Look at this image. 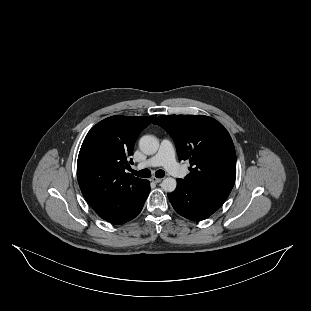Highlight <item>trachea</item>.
Instances as JSON below:
<instances>
[{
    "label": "trachea",
    "instance_id": "trachea-1",
    "mask_svg": "<svg viewBox=\"0 0 311 311\" xmlns=\"http://www.w3.org/2000/svg\"><path fill=\"white\" fill-rule=\"evenodd\" d=\"M130 171L132 172V174L141 177V178H149L151 177V171L149 169H143L140 171H135L133 169H130ZM155 176L157 178H163L165 176V172L162 169H159L156 171Z\"/></svg>",
    "mask_w": 311,
    "mask_h": 311
}]
</instances>
